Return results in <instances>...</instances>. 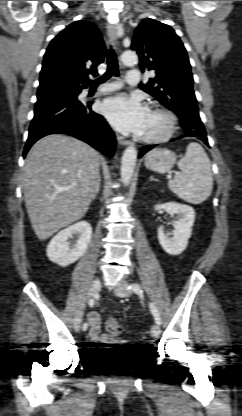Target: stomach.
<instances>
[{"label": "stomach", "mask_w": 242, "mask_h": 416, "mask_svg": "<svg viewBox=\"0 0 242 416\" xmlns=\"http://www.w3.org/2000/svg\"><path fill=\"white\" fill-rule=\"evenodd\" d=\"M174 152L164 148H155L145 156V165L158 173L168 172L176 162Z\"/></svg>", "instance_id": "1"}]
</instances>
